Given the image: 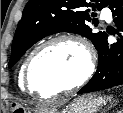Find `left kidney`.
Here are the masks:
<instances>
[{
    "instance_id": "obj_1",
    "label": "left kidney",
    "mask_w": 123,
    "mask_h": 113,
    "mask_svg": "<svg viewBox=\"0 0 123 113\" xmlns=\"http://www.w3.org/2000/svg\"><path fill=\"white\" fill-rule=\"evenodd\" d=\"M118 113H123V110L122 111H118Z\"/></svg>"
}]
</instances>
